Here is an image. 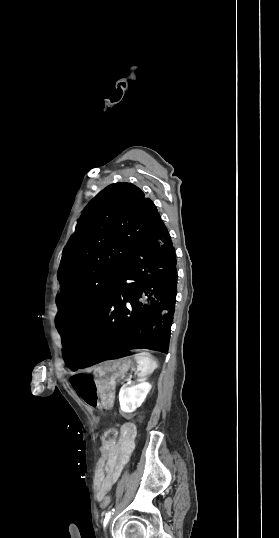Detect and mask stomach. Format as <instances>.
Here are the masks:
<instances>
[{
  "label": "stomach",
  "instance_id": "obj_1",
  "mask_svg": "<svg viewBox=\"0 0 279 538\" xmlns=\"http://www.w3.org/2000/svg\"><path fill=\"white\" fill-rule=\"evenodd\" d=\"M128 364L127 358H111L106 363H97L95 375L98 380L97 393L101 399L100 405L107 409L112 402V393L115 389L113 382H119L120 374H125Z\"/></svg>",
  "mask_w": 279,
  "mask_h": 538
}]
</instances>
